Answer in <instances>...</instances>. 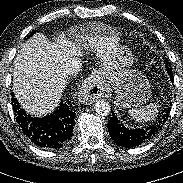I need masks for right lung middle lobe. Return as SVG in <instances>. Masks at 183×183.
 <instances>
[{
	"mask_svg": "<svg viewBox=\"0 0 183 183\" xmlns=\"http://www.w3.org/2000/svg\"><path fill=\"white\" fill-rule=\"evenodd\" d=\"M34 33H35V31H33V32L31 33V35H30V36H32ZM30 36H29V37H30Z\"/></svg>",
	"mask_w": 183,
	"mask_h": 183,
	"instance_id": "obj_1",
	"label": "right lung middle lobe"
}]
</instances>
